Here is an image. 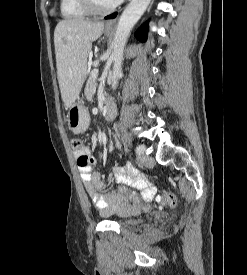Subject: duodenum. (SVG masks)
<instances>
[{
	"instance_id": "410a0bca",
	"label": "duodenum",
	"mask_w": 247,
	"mask_h": 275,
	"mask_svg": "<svg viewBox=\"0 0 247 275\" xmlns=\"http://www.w3.org/2000/svg\"><path fill=\"white\" fill-rule=\"evenodd\" d=\"M115 115V106L113 104H108L105 107V110L103 112V118L106 122H110L114 119Z\"/></svg>"
}]
</instances>
